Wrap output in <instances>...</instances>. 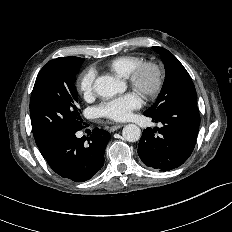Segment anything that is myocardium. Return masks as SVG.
I'll list each match as a JSON object with an SVG mask.
<instances>
[{"mask_svg":"<svg viewBox=\"0 0 232 232\" xmlns=\"http://www.w3.org/2000/svg\"><path fill=\"white\" fill-rule=\"evenodd\" d=\"M151 74V82L146 84L144 77ZM130 85L146 98L156 97L164 84V72L160 64L155 61H142L129 74Z\"/></svg>","mask_w":232,"mask_h":232,"instance_id":"obj_1","label":"myocardium"}]
</instances>
